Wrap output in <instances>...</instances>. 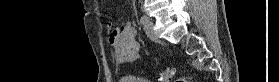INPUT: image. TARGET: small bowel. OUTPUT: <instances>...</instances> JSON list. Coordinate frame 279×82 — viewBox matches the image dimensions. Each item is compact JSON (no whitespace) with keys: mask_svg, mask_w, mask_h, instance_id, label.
Here are the masks:
<instances>
[{"mask_svg":"<svg viewBox=\"0 0 279 82\" xmlns=\"http://www.w3.org/2000/svg\"><path fill=\"white\" fill-rule=\"evenodd\" d=\"M110 31V42L114 47V58L119 63L132 62L140 57L139 44L135 39V32L131 24L126 23Z\"/></svg>","mask_w":279,"mask_h":82,"instance_id":"c3829d8e","label":"small bowel"}]
</instances>
